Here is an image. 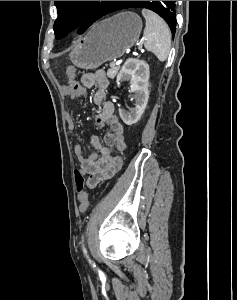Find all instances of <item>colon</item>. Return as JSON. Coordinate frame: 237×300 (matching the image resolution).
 <instances>
[{"mask_svg":"<svg viewBox=\"0 0 237 300\" xmlns=\"http://www.w3.org/2000/svg\"><path fill=\"white\" fill-rule=\"evenodd\" d=\"M69 77L71 74L75 73V69L73 67L68 68L67 71ZM70 85L75 89V90H80L81 85L77 81H72L70 80ZM75 184H76V190L78 193V198L80 201H86L87 200V194L84 191V184H85V177L83 173L80 170H75Z\"/></svg>","mask_w":237,"mask_h":300,"instance_id":"obj_1","label":"colon"}]
</instances>
